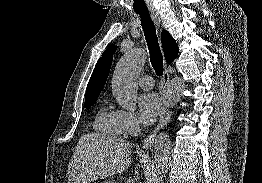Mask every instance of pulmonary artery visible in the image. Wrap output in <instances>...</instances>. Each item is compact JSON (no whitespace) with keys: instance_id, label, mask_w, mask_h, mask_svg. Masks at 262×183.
<instances>
[{"instance_id":"obj_1","label":"pulmonary artery","mask_w":262,"mask_h":183,"mask_svg":"<svg viewBox=\"0 0 262 183\" xmlns=\"http://www.w3.org/2000/svg\"><path fill=\"white\" fill-rule=\"evenodd\" d=\"M139 85H140L141 88H143L145 90H150L154 87V80L149 75H143L139 79Z\"/></svg>"}]
</instances>
